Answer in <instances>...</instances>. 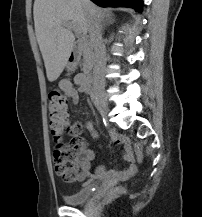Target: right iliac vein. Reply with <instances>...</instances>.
Listing matches in <instances>:
<instances>
[{
	"label": "right iliac vein",
	"instance_id": "63e3f726",
	"mask_svg": "<svg viewBox=\"0 0 202 217\" xmlns=\"http://www.w3.org/2000/svg\"><path fill=\"white\" fill-rule=\"evenodd\" d=\"M96 98H97V101H98V103L100 105V108H101L103 114L106 115L107 112H108V102H107L104 94L97 93Z\"/></svg>",
	"mask_w": 202,
	"mask_h": 217
}]
</instances>
